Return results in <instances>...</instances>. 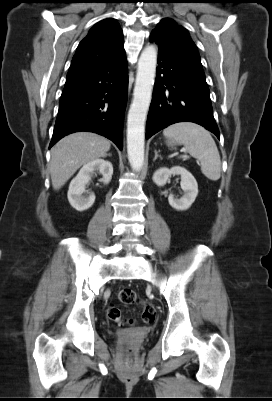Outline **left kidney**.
<instances>
[{"instance_id": "1", "label": "left kidney", "mask_w": 272, "mask_h": 401, "mask_svg": "<svg viewBox=\"0 0 272 401\" xmlns=\"http://www.w3.org/2000/svg\"><path fill=\"white\" fill-rule=\"evenodd\" d=\"M181 176V189L184 194L180 199H175L173 195H169L168 201L171 207L176 210H187L195 201L198 195V184L193 175L185 168L180 166L168 168H160L153 175V182L158 186H164L171 175Z\"/></svg>"}]
</instances>
